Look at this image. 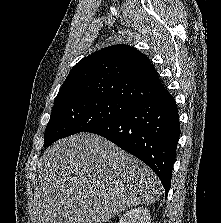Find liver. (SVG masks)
<instances>
[{"label": "liver", "instance_id": "1", "mask_svg": "<svg viewBox=\"0 0 221 223\" xmlns=\"http://www.w3.org/2000/svg\"><path fill=\"white\" fill-rule=\"evenodd\" d=\"M161 197V183L139 159L105 138L78 133L40 159L35 223H105Z\"/></svg>", "mask_w": 221, "mask_h": 223}]
</instances>
